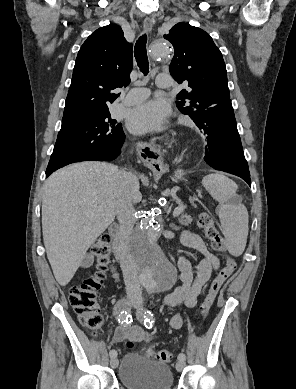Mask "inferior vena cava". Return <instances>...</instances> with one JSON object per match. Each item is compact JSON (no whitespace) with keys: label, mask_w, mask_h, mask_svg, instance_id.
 Masks as SVG:
<instances>
[{"label":"inferior vena cava","mask_w":296,"mask_h":389,"mask_svg":"<svg viewBox=\"0 0 296 389\" xmlns=\"http://www.w3.org/2000/svg\"><path fill=\"white\" fill-rule=\"evenodd\" d=\"M119 196L116 204L117 219L120 223L119 237L125 250L128 249L129 240L135 224V209L133 207L131 187L134 175L125 170L119 171L118 175ZM121 269L124 276L127 297L133 303L142 301V292L137 277L136 266L129 255L121 257Z\"/></svg>","instance_id":"1"}]
</instances>
